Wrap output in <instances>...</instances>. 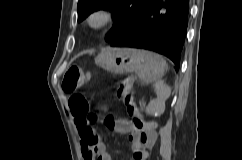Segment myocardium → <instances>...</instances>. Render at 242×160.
I'll list each match as a JSON object with an SVG mask.
<instances>
[{
  "mask_svg": "<svg viewBox=\"0 0 242 160\" xmlns=\"http://www.w3.org/2000/svg\"><path fill=\"white\" fill-rule=\"evenodd\" d=\"M114 20L115 15L112 10L97 8L87 15L86 25L90 30L98 32L110 26Z\"/></svg>",
  "mask_w": 242,
  "mask_h": 160,
  "instance_id": "1",
  "label": "myocardium"
}]
</instances>
